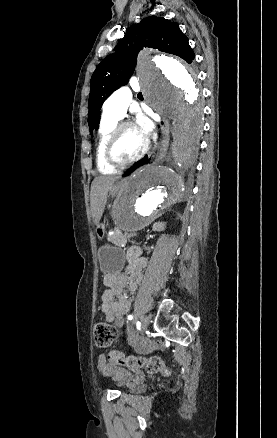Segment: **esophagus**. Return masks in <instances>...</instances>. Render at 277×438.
Returning <instances> with one entry per match:
<instances>
[{
  "mask_svg": "<svg viewBox=\"0 0 277 438\" xmlns=\"http://www.w3.org/2000/svg\"><path fill=\"white\" fill-rule=\"evenodd\" d=\"M160 126V141L158 142V155L162 158L169 146L170 138V122L166 118H162L159 122Z\"/></svg>",
  "mask_w": 277,
  "mask_h": 438,
  "instance_id": "esophagus-1",
  "label": "esophagus"
}]
</instances>
